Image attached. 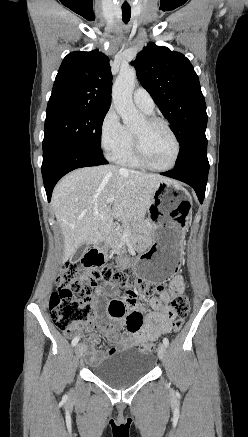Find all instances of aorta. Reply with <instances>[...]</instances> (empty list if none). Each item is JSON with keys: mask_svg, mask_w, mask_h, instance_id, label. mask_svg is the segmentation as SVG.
I'll return each instance as SVG.
<instances>
[{"mask_svg": "<svg viewBox=\"0 0 248 437\" xmlns=\"http://www.w3.org/2000/svg\"><path fill=\"white\" fill-rule=\"evenodd\" d=\"M135 80L134 69L121 70L112 91L114 107L121 116L123 124L128 127L136 125L142 118V114L136 109L132 100Z\"/></svg>", "mask_w": 248, "mask_h": 437, "instance_id": "762f6f07", "label": "aorta"}]
</instances>
